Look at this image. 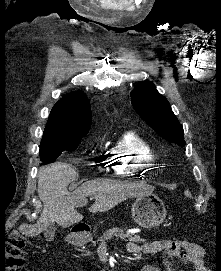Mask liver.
Here are the masks:
<instances>
[{
    "mask_svg": "<svg viewBox=\"0 0 221 271\" xmlns=\"http://www.w3.org/2000/svg\"><path fill=\"white\" fill-rule=\"evenodd\" d=\"M76 177L78 173L74 165L62 161H54L40 167L38 195L43 203V209L34 225L21 229L22 235L27 237L38 235L52 223H59L62 227L78 223L83 219V215L76 207L86 201L87 195H94L95 201L88 209L92 213H97L112 209L127 197L148 193L146 189H138L134 183H125L118 179H90L75 191H68L69 183Z\"/></svg>",
    "mask_w": 221,
    "mask_h": 271,
    "instance_id": "liver-1",
    "label": "liver"
}]
</instances>
